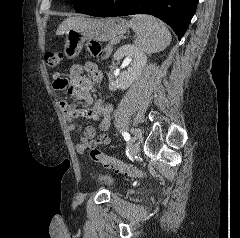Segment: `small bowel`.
<instances>
[{"label":"small bowel","mask_w":240,"mask_h":238,"mask_svg":"<svg viewBox=\"0 0 240 238\" xmlns=\"http://www.w3.org/2000/svg\"><path fill=\"white\" fill-rule=\"evenodd\" d=\"M87 73V76L83 72ZM102 72L92 63L84 65L74 64L70 69V75L56 72L52 76V89L60 91L68 88L69 94L74 98L83 100L90 106L88 109L80 108L75 102L61 100L59 106L66 118L71 133H79V141L75 146L77 153L82 154L88 147H96L109 143L106 132L109 130L113 113V105L103 99L94 100L91 90L94 84L102 82ZM78 117L92 119L98 122L100 134L97 135L96 127L87 125L84 128L76 123Z\"/></svg>","instance_id":"1"}]
</instances>
